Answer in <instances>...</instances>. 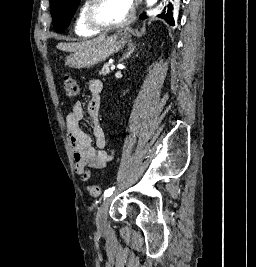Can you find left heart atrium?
Wrapping results in <instances>:
<instances>
[{
    "instance_id": "left-heart-atrium-1",
    "label": "left heart atrium",
    "mask_w": 256,
    "mask_h": 267,
    "mask_svg": "<svg viewBox=\"0 0 256 267\" xmlns=\"http://www.w3.org/2000/svg\"><path fill=\"white\" fill-rule=\"evenodd\" d=\"M134 0H120V3L126 7L127 9L131 10L133 12V3Z\"/></svg>"
}]
</instances>
